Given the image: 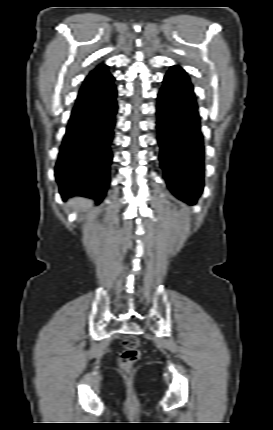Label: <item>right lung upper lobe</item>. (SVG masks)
I'll return each instance as SVG.
<instances>
[{
  "instance_id": "obj_1",
  "label": "right lung upper lobe",
  "mask_w": 273,
  "mask_h": 430,
  "mask_svg": "<svg viewBox=\"0 0 273 430\" xmlns=\"http://www.w3.org/2000/svg\"><path fill=\"white\" fill-rule=\"evenodd\" d=\"M107 76H110L107 70V66L104 64H101L97 66L93 71L90 72V74L86 77L83 86L79 92L78 98H80L84 92L87 90V87L90 83L101 80Z\"/></svg>"
}]
</instances>
